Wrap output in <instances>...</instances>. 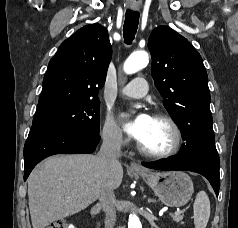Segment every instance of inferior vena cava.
<instances>
[{
    "label": "inferior vena cava",
    "instance_id": "602c4592",
    "mask_svg": "<svg viewBox=\"0 0 238 228\" xmlns=\"http://www.w3.org/2000/svg\"><path fill=\"white\" fill-rule=\"evenodd\" d=\"M121 143L117 134H107L103 136V143L97 154V159L102 168L107 169L118 163L121 156ZM98 198L105 213V228H114L116 222V199L114 190L104 182L98 192Z\"/></svg>",
    "mask_w": 238,
    "mask_h": 228
}]
</instances>
